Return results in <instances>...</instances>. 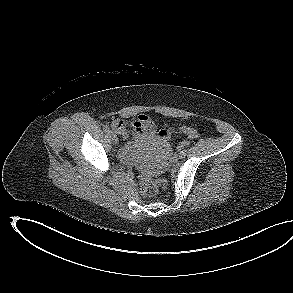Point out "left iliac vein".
<instances>
[{"label":"left iliac vein","mask_w":293,"mask_h":293,"mask_svg":"<svg viewBox=\"0 0 293 293\" xmlns=\"http://www.w3.org/2000/svg\"><path fill=\"white\" fill-rule=\"evenodd\" d=\"M180 157H185L186 156V151L185 150H181L179 152Z\"/></svg>","instance_id":"obj_1"}]
</instances>
